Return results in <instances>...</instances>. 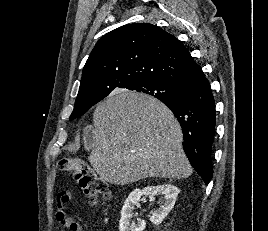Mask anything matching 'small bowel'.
I'll use <instances>...</instances> for the list:
<instances>
[{
	"mask_svg": "<svg viewBox=\"0 0 268 231\" xmlns=\"http://www.w3.org/2000/svg\"><path fill=\"white\" fill-rule=\"evenodd\" d=\"M71 198L72 194L70 192H62L58 195L56 220L68 231H82L81 225L66 212L65 205Z\"/></svg>",
	"mask_w": 268,
	"mask_h": 231,
	"instance_id": "small-bowel-1",
	"label": "small bowel"
}]
</instances>
